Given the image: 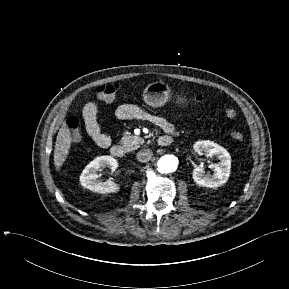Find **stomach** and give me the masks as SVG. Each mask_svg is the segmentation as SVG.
<instances>
[{"instance_id": "stomach-1", "label": "stomach", "mask_w": 289, "mask_h": 289, "mask_svg": "<svg viewBox=\"0 0 289 289\" xmlns=\"http://www.w3.org/2000/svg\"><path fill=\"white\" fill-rule=\"evenodd\" d=\"M171 98L170 87L163 82L149 84L143 92L144 102L151 107H161ZM178 103H183V98H178Z\"/></svg>"}]
</instances>
